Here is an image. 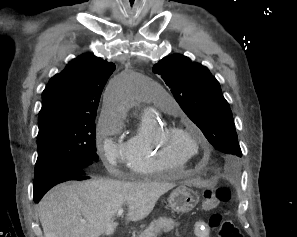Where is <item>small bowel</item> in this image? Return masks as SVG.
<instances>
[{
	"instance_id": "obj_1",
	"label": "small bowel",
	"mask_w": 297,
	"mask_h": 237,
	"mask_svg": "<svg viewBox=\"0 0 297 237\" xmlns=\"http://www.w3.org/2000/svg\"><path fill=\"white\" fill-rule=\"evenodd\" d=\"M196 237H211L210 229L205 221H197L194 227Z\"/></svg>"
}]
</instances>
